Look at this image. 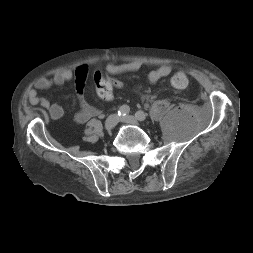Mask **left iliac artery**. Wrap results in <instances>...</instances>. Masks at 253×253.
Wrapping results in <instances>:
<instances>
[{
    "instance_id": "left-iliac-artery-1",
    "label": "left iliac artery",
    "mask_w": 253,
    "mask_h": 253,
    "mask_svg": "<svg viewBox=\"0 0 253 253\" xmlns=\"http://www.w3.org/2000/svg\"><path fill=\"white\" fill-rule=\"evenodd\" d=\"M135 116L136 118L139 120V121H144L146 120V114L143 112V111H137L135 113Z\"/></svg>"
}]
</instances>
